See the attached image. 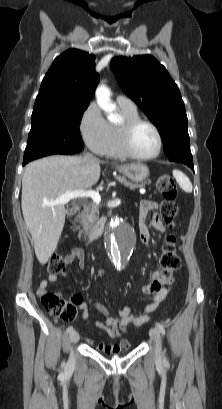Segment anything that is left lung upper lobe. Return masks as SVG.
<instances>
[{
	"label": "left lung upper lobe",
	"mask_w": 222,
	"mask_h": 409,
	"mask_svg": "<svg viewBox=\"0 0 222 409\" xmlns=\"http://www.w3.org/2000/svg\"><path fill=\"white\" fill-rule=\"evenodd\" d=\"M110 65L120 87L157 126L166 155L191 153L184 102L165 67L150 55L116 57Z\"/></svg>",
	"instance_id": "5c2ea615"
}]
</instances>
